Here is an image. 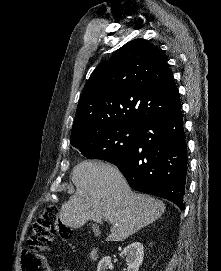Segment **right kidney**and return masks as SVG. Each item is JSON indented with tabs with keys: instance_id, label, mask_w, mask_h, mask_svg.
Here are the masks:
<instances>
[{
	"instance_id": "right-kidney-1",
	"label": "right kidney",
	"mask_w": 221,
	"mask_h": 271,
	"mask_svg": "<svg viewBox=\"0 0 221 271\" xmlns=\"http://www.w3.org/2000/svg\"><path fill=\"white\" fill-rule=\"evenodd\" d=\"M121 253L126 255L127 259V271H139V265H141L144 257V245L140 241H133L126 247H123ZM111 265L110 255H105L100 259L97 265V271H107Z\"/></svg>"
}]
</instances>
